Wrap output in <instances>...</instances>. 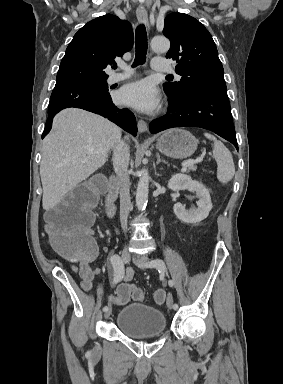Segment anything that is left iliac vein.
<instances>
[{"label": "left iliac vein", "instance_id": "left-iliac-vein-1", "mask_svg": "<svg viewBox=\"0 0 283 384\" xmlns=\"http://www.w3.org/2000/svg\"><path fill=\"white\" fill-rule=\"evenodd\" d=\"M133 261L138 265V267L142 269H146L147 267L145 266L148 262H150L146 257L144 256H134ZM173 303V297L171 294L168 295L167 297V306L171 309L173 308L172 306ZM174 309V308H173Z\"/></svg>", "mask_w": 283, "mask_h": 384}]
</instances>
